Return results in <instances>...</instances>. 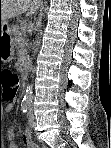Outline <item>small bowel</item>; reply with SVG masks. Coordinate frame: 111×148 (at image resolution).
<instances>
[{"label":"small bowel","instance_id":"obj_1","mask_svg":"<svg viewBox=\"0 0 111 148\" xmlns=\"http://www.w3.org/2000/svg\"><path fill=\"white\" fill-rule=\"evenodd\" d=\"M13 109H14L13 103L8 104L6 107L7 112H11ZM6 136H7L8 142H9L8 147L9 148H17V145L14 143L15 133L12 128L8 129ZM24 140L29 147H33V148L37 147V145L33 141V133L31 130L25 131Z\"/></svg>","mask_w":111,"mask_h":148}]
</instances>
